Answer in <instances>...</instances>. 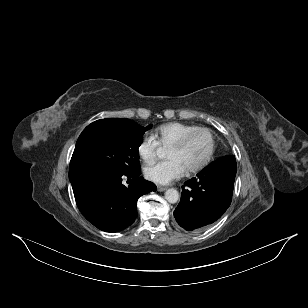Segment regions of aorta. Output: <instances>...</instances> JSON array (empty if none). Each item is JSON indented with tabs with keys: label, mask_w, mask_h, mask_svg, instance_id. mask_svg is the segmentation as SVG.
Listing matches in <instances>:
<instances>
[{
	"label": "aorta",
	"mask_w": 308,
	"mask_h": 308,
	"mask_svg": "<svg viewBox=\"0 0 308 308\" xmlns=\"http://www.w3.org/2000/svg\"><path fill=\"white\" fill-rule=\"evenodd\" d=\"M158 156L159 157H163V151L162 150H159L158 151ZM165 199L169 202V203H176L178 200H179V193L176 189H168L166 192H165Z\"/></svg>",
	"instance_id": "762f6f07"
}]
</instances>
